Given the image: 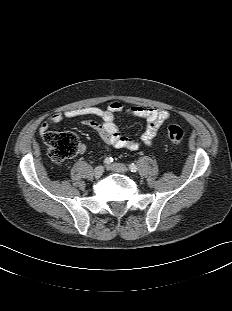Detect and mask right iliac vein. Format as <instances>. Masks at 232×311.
Here are the masks:
<instances>
[{
	"label": "right iliac vein",
	"mask_w": 232,
	"mask_h": 311,
	"mask_svg": "<svg viewBox=\"0 0 232 311\" xmlns=\"http://www.w3.org/2000/svg\"><path fill=\"white\" fill-rule=\"evenodd\" d=\"M104 173V167L103 166H97L95 169H94V176L99 178L103 175Z\"/></svg>",
	"instance_id": "1"
}]
</instances>
